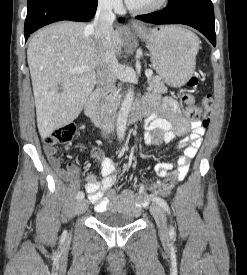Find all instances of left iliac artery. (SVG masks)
I'll return each mask as SVG.
<instances>
[{
  "mask_svg": "<svg viewBox=\"0 0 247 275\" xmlns=\"http://www.w3.org/2000/svg\"><path fill=\"white\" fill-rule=\"evenodd\" d=\"M152 200L158 205H160L165 211H167L168 214H170L169 206L164 199L160 197H154ZM173 234H174V228L170 226V235H173Z\"/></svg>",
  "mask_w": 247,
  "mask_h": 275,
  "instance_id": "44dca946",
  "label": "left iliac artery"
}]
</instances>
